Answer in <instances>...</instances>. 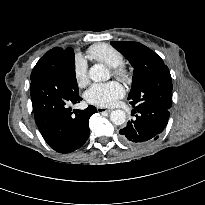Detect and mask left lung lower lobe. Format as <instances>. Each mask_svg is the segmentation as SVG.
<instances>
[{
    "mask_svg": "<svg viewBox=\"0 0 205 205\" xmlns=\"http://www.w3.org/2000/svg\"><path fill=\"white\" fill-rule=\"evenodd\" d=\"M134 109L133 113L137 112L138 115L120 130L122 140L136 146L153 142L166 127L169 110L156 106Z\"/></svg>",
    "mask_w": 205,
    "mask_h": 205,
    "instance_id": "obj_1",
    "label": "left lung lower lobe"
}]
</instances>
